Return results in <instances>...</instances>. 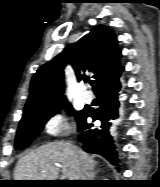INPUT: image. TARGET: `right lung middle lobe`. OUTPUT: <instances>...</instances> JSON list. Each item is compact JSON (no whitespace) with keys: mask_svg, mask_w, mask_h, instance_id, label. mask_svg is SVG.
Masks as SVG:
<instances>
[{"mask_svg":"<svg viewBox=\"0 0 160 187\" xmlns=\"http://www.w3.org/2000/svg\"><path fill=\"white\" fill-rule=\"evenodd\" d=\"M63 103H65L66 110L69 113L76 115L79 120L84 113V110L74 113L70 103L66 101L44 110L24 113L18 127L17 136L15 139V148L22 150L29 146L33 139L43 129L49 118L54 116L61 109Z\"/></svg>","mask_w":160,"mask_h":187,"instance_id":"1","label":"right lung middle lobe"}]
</instances>
